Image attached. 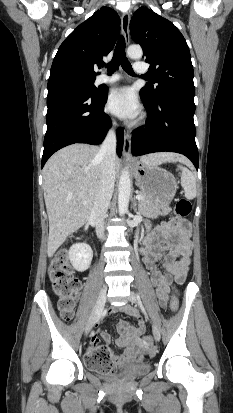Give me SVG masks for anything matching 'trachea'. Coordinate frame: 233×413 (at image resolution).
<instances>
[{
  "label": "trachea",
  "mask_w": 233,
  "mask_h": 413,
  "mask_svg": "<svg viewBox=\"0 0 233 413\" xmlns=\"http://www.w3.org/2000/svg\"><path fill=\"white\" fill-rule=\"evenodd\" d=\"M119 65H121L124 71H126L128 74L135 75L132 70V66L125 54V39L123 36H121L118 40L114 50L113 58L111 62L107 65L108 73L111 74L114 71H116Z\"/></svg>",
  "instance_id": "3493384b"
}]
</instances>
